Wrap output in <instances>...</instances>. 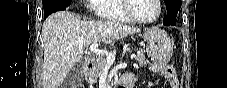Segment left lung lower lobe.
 Listing matches in <instances>:
<instances>
[{
	"instance_id": "obj_1",
	"label": "left lung lower lobe",
	"mask_w": 227,
	"mask_h": 88,
	"mask_svg": "<svg viewBox=\"0 0 227 88\" xmlns=\"http://www.w3.org/2000/svg\"><path fill=\"white\" fill-rule=\"evenodd\" d=\"M177 13L174 11H167V16L163 19V24L166 26L176 25Z\"/></svg>"
}]
</instances>
